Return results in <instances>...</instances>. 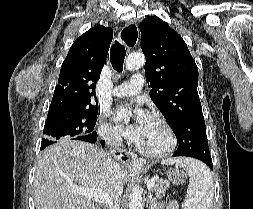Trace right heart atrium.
<instances>
[{
	"instance_id": "1",
	"label": "right heart atrium",
	"mask_w": 253,
	"mask_h": 209,
	"mask_svg": "<svg viewBox=\"0 0 253 209\" xmlns=\"http://www.w3.org/2000/svg\"><path fill=\"white\" fill-rule=\"evenodd\" d=\"M98 133L109 143H117L120 140L117 130L107 123L103 117H100L98 122Z\"/></svg>"
}]
</instances>
